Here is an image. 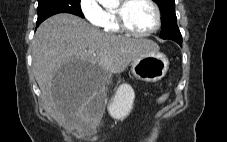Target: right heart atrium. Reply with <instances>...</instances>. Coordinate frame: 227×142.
Here are the masks:
<instances>
[{"mask_svg":"<svg viewBox=\"0 0 227 142\" xmlns=\"http://www.w3.org/2000/svg\"><path fill=\"white\" fill-rule=\"evenodd\" d=\"M79 8L88 22L96 26L101 24L104 10L98 0H79Z\"/></svg>","mask_w":227,"mask_h":142,"instance_id":"1","label":"right heart atrium"}]
</instances>
